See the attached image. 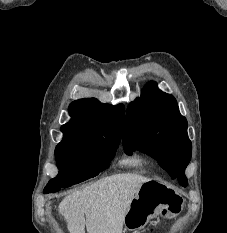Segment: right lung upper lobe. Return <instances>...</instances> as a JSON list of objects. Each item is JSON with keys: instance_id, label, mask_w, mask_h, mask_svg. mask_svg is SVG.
<instances>
[{"instance_id": "1", "label": "right lung upper lobe", "mask_w": 227, "mask_h": 233, "mask_svg": "<svg viewBox=\"0 0 227 233\" xmlns=\"http://www.w3.org/2000/svg\"><path fill=\"white\" fill-rule=\"evenodd\" d=\"M71 120L61 127L64 137L100 140L122 137L125 107L111 106L95 98H83L69 106Z\"/></svg>"}]
</instances>
